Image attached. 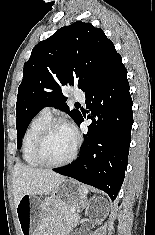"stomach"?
Listing matches in <instances>:
<instances>
[{
	"instance_id": "obj_1",
	"label": "stomach",
	"mask_w": 155,
	"mask_h": 235,
	"mask_svg": "<svg viewBox=\"0 0 155 235\" xmlns=\"http://www.w3.org/2000/svg\"><path fill=\"white\" fill-rule=\"evenodd\" d=\"M86 200V194L80 184L68 178L58 182L45 202L36 195H24L16 206L21 235H46L44 220L47 206L53 210L58 207L71 210L83 207Z\"/></svg>"
}]
</instances>
